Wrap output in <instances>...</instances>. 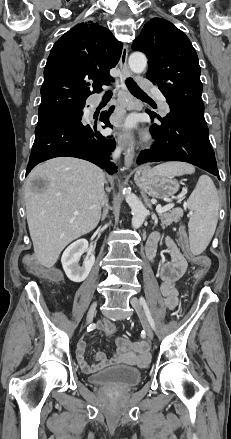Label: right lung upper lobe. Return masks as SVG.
Instances as JSON below:
<instances>
[{"mask_svg": "<svg viewBox=\"0 0 231 439\" xmlns=\"http://www.w3.org/2000/svg\"><path fill=\"white\" fill-rule=\"evenodd\" d=\"M122 43L98 23L74 26L53 45L44 69L39 120L81 110L86 99L113 81ZM88 80H93V91Z\"/></svg>", "mask_w": 231, "mask_h": 439, "instance_id": "right-lung-upper-lobe-1", "label": "right lung upper lobe"}]
</instances>
